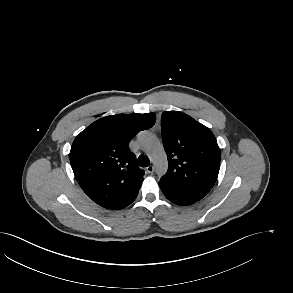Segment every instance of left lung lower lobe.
I'll list each match as a JSON object with an SVG mask.
<instances>
[{
  "mask_svg": "<svg viewBox=\"0 0 293 293\" xmlns=\"http://www.w3.org/2000/svg\"><path fill=\"white\" fill-rule=\"evenodd\" d=\"M159 186L164 193V195L173 203L181 206H186L193 204L200 199H202L204 196L195 195L193 193L189 192H183V191H177L173 190L161 183H159Z\"/></svg>",
  "mask_w": 293,
  "mask_h": 293,
  "instance_id": "left-lung-lower-lobe-1",
  "label": "left lung lower lobe"
}]
</instances>
